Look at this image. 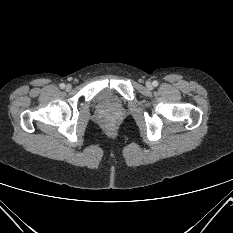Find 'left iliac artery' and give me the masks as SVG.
<instances>
[{
    "label": "left iliac artery",
    "mask_w": 233,
    "mask_h": 233,
    "mask_svg": "<svg viewBox=\"0 0 233 233\" xmlns=\"http://www.w3.org/2000/svg\"><path fill=\"white\" fill-rule=\"evenodd\" d=\"M152 85H153L154 87H156V86H158V82H157V81H153V82H152Z\"/></svg>",
    "instance_id": "1"
}]
</instances>
